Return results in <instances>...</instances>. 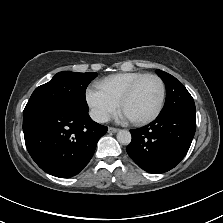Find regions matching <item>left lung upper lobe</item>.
I'll use <instances>...</instances> for the list:
<instances>
[{
	"mask_svg": "<svg viewBox=\"0 0 223 223\" xmlns=\"http://www.w3.org/2000/svg\"><path fill=\"white\" fill-rule=\"evenodd\" d=\"M156 73L166 86V101L159 115L179 111L195 112L194 100L184 85L164 71L156 70Z\"/></svg>",
	"mask_w": 223,
	"mask_h": 223,
	"instance_id": "1",
	"label": "left lung upper lobe"
}]
</instances>
